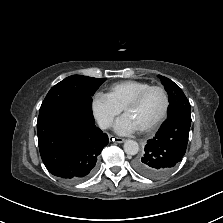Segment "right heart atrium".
Here are the masks:
<instances>
[{"mask_svg":"<svg viewBox=\"0 0 223 223\" xmlns=\"http://www.w3.org/2000/svg\"><path fill=\"white\" fill-rule=\"evenodd\" d=\"M92 111L99 125L106 129L111 126L122 109L107 94L98 92L92 98Z\"/></svg>","mask_w":223,"mask_h":223,"instance_id":"right-heart-atrium-1","label":"right heart atrium"}]
</instances>
